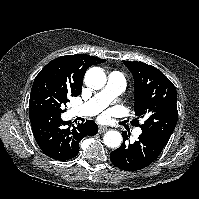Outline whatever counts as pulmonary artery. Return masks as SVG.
<instances>
[{
    "label": "pulmonary artery",
    "mask_w": 199,
    "mask_h": 199,
    "mask_svg": "<svg viewBox=\"0 0 199 199\" xmlns=\"http://www.w3.org/2000/svg\"><path fill=\"white\" fill-rule=\"evenodd\" d=\"M125 78L118 72L113 71L108 76V82L104 89L95 94L90 100L82 105L71 109L73 116H94L102 111L116 96L121 94L125 89ZM140 130L134 131V135L138 136Z\"/></svg>",
    "instance_id": "pulmonary-artery-1"
}]
</instances>
